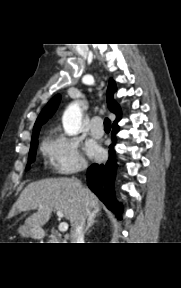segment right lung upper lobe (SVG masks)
<instances>
[{
    "mask_svg": "<svg viewBox=\"0 0 181 288\" xmlns=\"http://www.w3.org/2000/svg\"><path fill=\"white\" fill-rule=\"evenodd\" d=\"M115 91H116V84L114 80L110 78L107 89V104L110 111L116 114L117 116L116 120L113 123L116 125L118 124V121L121 118V111L119 105L113 99V94ZM59 101H60V95L54 96L41 111L34 125L32 141L37 140L41 125H43L54 114V112L58 107Z\"/></svg>",
    "mask_w": 181,
    "mask_h": 288,
    "instance_id": "obj_1",
    "label": "right lung upper lobe"
}]
</instances>
